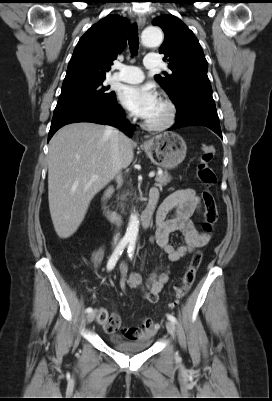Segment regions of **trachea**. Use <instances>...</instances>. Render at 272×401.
Here are the masks:
<instances>
[{
    "label": "trachea",
    "instance_id": "trachea-1",
    "mask_svg": "<svg viewBox=\"0 0 272 401\" xmlns=\"http://www.w3.org/2000/svg\"><path fill=\"white\" fill-rule=\"evenodd\" d=\"M128 44L132 55H136L139 45L138 28L132 25L128 32Z\"/></svg>",
    "mask_w": 272,
    "mask_h": 401
}]
</instances>
